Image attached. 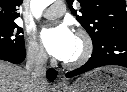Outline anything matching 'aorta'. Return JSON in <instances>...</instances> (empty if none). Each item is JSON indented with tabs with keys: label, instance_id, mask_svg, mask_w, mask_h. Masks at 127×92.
I'll use <instances>...</instances> for the list:
<instances>
[{
	"label": "aorta",
	"instance_id": "aorta-1",
	"mask_svg": "<svg viewBox=\"0 0 127 92\" xmlns=\"http://www.w3.org/2000/svg\"><path fill=\"white\" fill-rule=\"evenodd\" d=\"M53 0H31L30 8L33 15L36 18H39L43 12V10L48 7Z\"/></svg>",
	"mask_w": 127,
	"mask_h": 92
}]
</instances>
